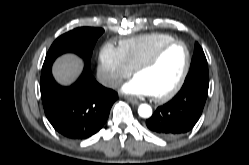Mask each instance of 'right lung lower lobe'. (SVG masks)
<instances>
[{"label": "right lung lower lobe", "instance_id": "obj_1", "mask_svg": "<svg viewBox=\"0 0 249 165\" xmlns=\"http://www.w3.org/2000/svg\"><path fill=\"white\" fill-rule=\"evenodd\" d=\"M54 60H45L41 72L40 91L46 117L63 136L86 139L103 127L118 94L100 85L87 67L76 83L60 86L51 73Z\"/></svg>", "mask_w": 249, "mask_h": 165}]
</instances>
